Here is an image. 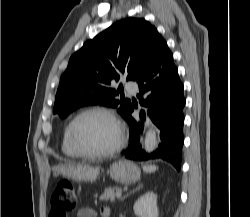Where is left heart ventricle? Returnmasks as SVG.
<instances>
[{
	"label": "left heart ventricle",
	"mask_w": 250,
	"mask_h": 217,
	"mask_svg": "<svg viewBox=\"0 0 250 217\" xmlns=\"http://www.w3.org/2000/svg\"><path fill=\"white\" fill-rule=\"evenodd\" d=\"M75 140L86 152L96 153L111 148L117 139L112 121L100 113L85 115L75 125Z\"/></svg>",
	"instance_id": "left-heart-ventricle-1"
}]
</instances>
